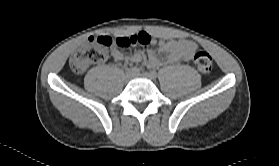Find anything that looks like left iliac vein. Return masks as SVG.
Here are the masks:
<instances>
[{
    "instance_id": "obj_1",
    "label": "left iliac vein",
    "mask_w": 279,
    "mask_h": 166,
    "mask_svg": "<svg viewBox=\"0 0 279 166\" xmlns=\"http://www.w3.org/2000/svg\"><path fill=\"white\" fill-rule=\"evenodd\" d=\"M135 76L137 77H142V78H147L150 80H155V77L153 75H151L150 73H142V74H135Z\"/></svg>"
}]
</instances>
